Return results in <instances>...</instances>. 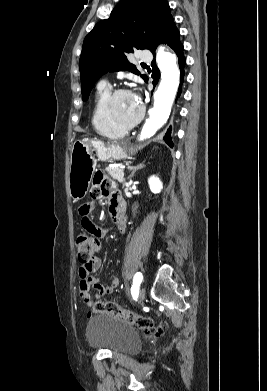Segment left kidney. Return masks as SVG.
Listing matches in <instances>:
<instances>
[{
	"label": "left kidney",
	"instance_id": "1",
	"mask_svg": "<svg viewBox=\"0 0 267 391\" xmlns=\"http://www.w3.org/2000/svg\"><path fill=\"white\" fill-rule=\"evenodd\" d=\"M148 184H149L151 192L154 194L160 193L163 188V184H162L161 180L156 176H151L148 179Z\"/></svg>",
	"mask_w": 267,
	"mask_h": 391
}]
</instances>
